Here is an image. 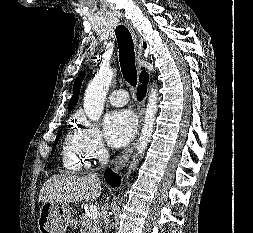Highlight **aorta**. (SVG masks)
Segmentation results:
<instances>
[{
  "instance_id": "aorta-1",
  "label": "aorta",
  "mask_w": 253,
  "mask_h": 233,
  "mask_svg": "<svg viewBox=\"0 0 253 233\" xmlns=\"http://www.w3.org/2000/svg\"><path fill=\"white\" fill-rule=\"evenodd\" d=\"M113 76L114 71L111 68L100 69L85 91L83 107L87 117L91 121H98L103 113L105 97ZM157 101L158 90L156 87H152L148 97L141 136L137 146V155H141L144 152L152 136L158 110ZM136 163V160L131 163L129 173L131 169L136 167Z\"/></svg>"
}]
</instances>
